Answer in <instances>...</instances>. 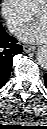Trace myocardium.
<instances>
[{"label":"myocardium","mask_w":47,"mask_h":129,"mask_svg":"<svg viewBox=\"0 0 47 129\" xmlns=\"http://www.w3.org/2000/svg\"><path fill=\"white\" fill-rule=\"evenodd\" d=\"M40 13L47 15V0H45L36 10L33 12V16L36 17Z\"/></svg>","instance_id":"obj_1"}]
</instances>
